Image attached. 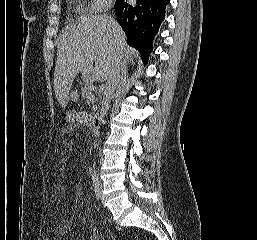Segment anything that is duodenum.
Returning a JSON list of instances; mask_svg holds the SVG:
<instances>
[{
    "instance_id": "1",
    "label": "duodenum",
    "mask_w": 257,
    "mask_h": 240,
    "mask_svg": "<svg viewBox=\"0 0 257 240\" xmlns=\"http://www.w3.org/2000/svg\"><path fill=\"white\" fill-rule=\"evenodd\" d=\"M91 128L93 130V133L96 137H99L101 135V125H102V117L101 115H96L91 119Z\"/></svg>"
}]
</instances>
